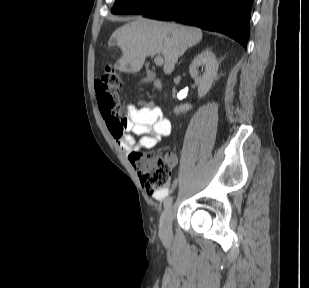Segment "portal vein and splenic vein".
Returning a JSON list of instances; mask_svg holds the SVG:
<instances>
[{
	"label": "portal vein and splenic vein",
	"instance_id": "portal-vein-and-splenic-vein-1",
	"mask_svg": "<svg viewBox=\"0 0 309 288\" xmlns=\"http://www.w3.org/2000/svg\"><path fill=\"white\" fill-rule=\"evenodd\" d=\"M154 62H155L156 65L161 66L164 63V60L161 56H156L155 59H154Z\"/></svg>",
	"mask_w": 309,
	"mask_h": 288
}]
</instances>
